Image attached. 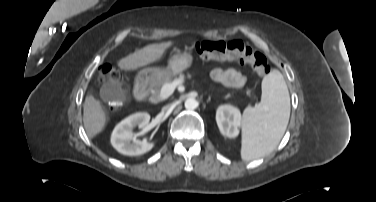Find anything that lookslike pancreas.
<instances>
[{"label":"pancreas","mask_w":376,"mask_h":202,"mask_svg":"<svg viewBox=\"0 0 376 202\" xmlns=\"http://www.w3.org/2000/svg\"><path fill=\"white\" fill-rule=\"evenodd\" d=\"M185 78V75L184 74H180L178 77H176L174 80H184ZM187 78H192V75L190 73H187ZM173 82L172 80V77L170 76H165V77H162L156 81H153L150 83V92H151V97H150V101L153 102V103H158L162 100H164L165 98H163L161 95H160V91H161V88L163 85H165L166 83H171Z\"/></svg>","instance_id":"1"}]
</instances>
